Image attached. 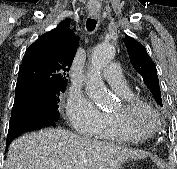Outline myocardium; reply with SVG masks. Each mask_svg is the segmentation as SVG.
<instances>
[{
    "mask_svg": "<svg viewBox=\"0 0 177 169\" xmlns=\"http://www.w3.org/2000/svg\"><path fill=\"white\" fill-rule=\"evenodd\" d=\"M112 113L131 139L135 138L134 134L151 136L162 126L157 110L136 94L131 98H121L119 108ZM144 118L148 119L147 123Z\"/></svg>",
    "mask_w": 177,
    "mask_h": 169,
    "instance_id": "1",
    "label": "myocardium"
}]
</instances>
